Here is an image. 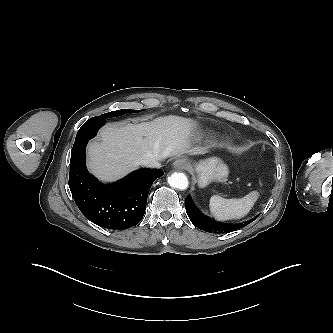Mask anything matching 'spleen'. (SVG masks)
<instances>
[{"label": "spleen", "instance_id": "1", "mask_svg": "<svg viewBox=\"0 0 333 333\" xmlns=\"http://www.w3.org/2000/svg\"><path fill=\"white\" fill-rule=\"evenodd\" d=\"M258 197L257 191H252L240 199H224L213 195L209 207L212 215L218 220L240 219L249 213Z\"/></svg>", "mask_w": 333, "mask_h": 333}]
</instances>
